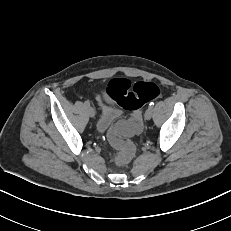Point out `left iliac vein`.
Returning a JSON list of instances; mask_svg holds the SVG:
<instances>
[{
  "mask_svg": "<svg viewBox=\"0 0 231 231\" xmlns=\"http://www.w3.org/2000/svg\"><path fill=\"white\" fill-rule=\"evenodd\" d=\"M152 114H153V111H152V108H148L146 111H145V114H144V117L146 120H150L152 118Z\"/></svg>",
  "mask_w": 231,
  "mask_h": 231,
  "instance_id": "4c4485c4",
  "label": "left iliac vein"
}]
</instances>
